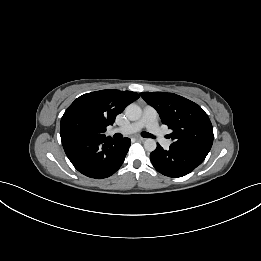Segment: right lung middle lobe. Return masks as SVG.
Here are the masks:
<instances>
[{"label":"right lung middle lobe","instance_id":"dd1d6c3e","mask_svg":"<svg viewBox=\"0 0 261 261\" xmlns=\"http://www.w3.org/2000/svg\"><path fill=\"white\" fill-rule=\"evenodd\" d=\"M60 136L61 139L66 137H98L101 136V132L90 118L75 115L61 123Z\"/></svg>","mask_w":261,"mask_h":261}]
</instances>
